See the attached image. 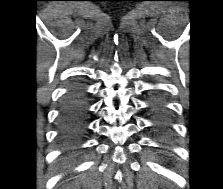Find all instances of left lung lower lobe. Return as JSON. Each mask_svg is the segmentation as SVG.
<instances>
[{"instance_id": "1", "label": "left lung lower lobe", "mask_w": 223, "mask_h": 189, "mask_svg": "<svg viewBox=\"0 0 223 189\" xmlns=\"http://www.w3.org/2000/svg\"><path fill=\"white\" fill-rule=\"evenodd\" d=\"M152 111L156 115V117L159 119L161 124H164L165 122V117H164V107L162 104V100L159 98L153 99L152 100V106H151Z\"/></svg>"}]
</instances>
